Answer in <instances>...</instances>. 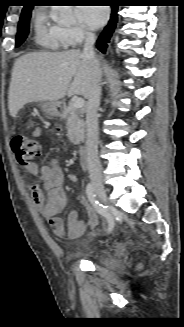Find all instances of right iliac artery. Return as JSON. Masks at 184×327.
<instances>
[{
  "label": "right iliac artery",
  "mask_w": 184,
  "mask_h": 327,
  "mask_svg": "<svg viewBox=\"0 0 184 327\" xmlns=\"http://www.w3.org/2000/svg\"><path fill=\"white\" fill-rule=\"evenodd\" d=\"M86 194L94 209L107 219L108 232H111L114 228V220L112 216L109 214V212L107 211L106 207L103 206L101 203H99V201L97 200L94 187L91 183H89L86 187Z\"/></svg>",
  "instance_id": "right-iliac-artery-1"
}]
</instances>
